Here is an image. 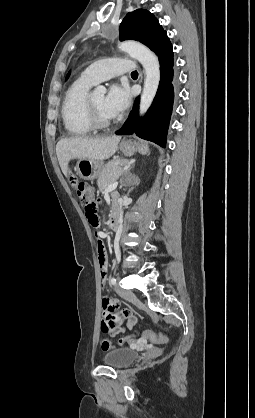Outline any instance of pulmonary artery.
I'll return each mask as SVG.
<instances>
[{"label": "pulmonary artery", "instance_id": "pulmonary-artery-1", "mask_svg": "<svg viewBox=\"0 0 255 418\" xmlns=\"http://www.w3.org/2000/svg\"><path fill=\"white\" fill-rule=\"evenodd\" d=\"M135 62L126 58H109L97 61L87 67L82 76L93 84L114 76L135 70Z\"/></svg>", "mask_w": 255, "mask_h": 418}]
</instances>
